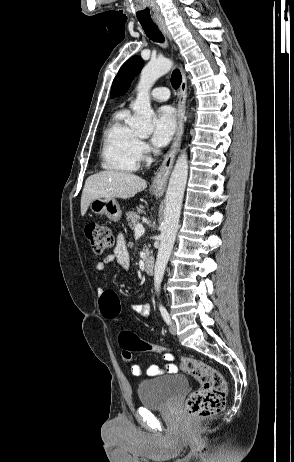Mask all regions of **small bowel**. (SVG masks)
I'll return each instance as SVG.
<instances>
[{
    "label": "small bowel",
    "mask_w": 294,
    "mask_h": 462,
    "mask_svg": "<svg viewBox=\"0 0 294 462\" xmlns=\"http://www.w3.org/2000/svg\"><path fill=\"white\" fill-rule=\"evenodd\" d=\"M112 262H116L124 269H128L130 266V257L127 251L126 243L124 238L121 236L118 237L113 252L96 264L97 271L103 272L105 270L106 264ZM103 291L104 290L102 288L98 289L99 294H102ZM131 309L144 320H147L150 317L151 306L149 303L131 304ZM161 349V354L164 355V359L167 361L165 367L162 369L157 365H150L145 370L146 375L153 377L164 373L174 374L178 372V366L174 363V355L170 352H167L163 347H161ZM130 370L134 376H140L143 373L142 368L137 364H132L130 366Z\"/></svg>",
    "instance_id": "obj_1"
}]
</instances>
